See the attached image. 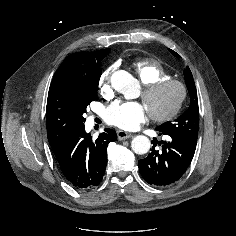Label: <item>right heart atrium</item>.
Instances as JSON below:
<instances>
[{"mask_svg": "<svg viewBox=\"0 0 236 236\" xmlns=\"http://www.w3.org/2000/svg\"><path fill=\"white\" fill-rule=\"evenodd\" d=\"M114 68L110 67L106 69L99 78V89L102 94L110 95L111 94V76Z\"/></svg>", "mask_w": 236, "mask_h": 236, "instance_id": "right-heart-atrium-1", "label": "right heart atrium"}]
</instances>
